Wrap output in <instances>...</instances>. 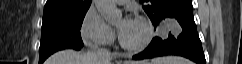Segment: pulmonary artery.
Masks as SVG:
<instances>
[{
  "mask_svg": "<svg viewBox=\"0 0 242 64\" xmlns=\"http://www.w3.org/2000/svg\"><path fill=\"white\" fill-rule=\"evenodd\" d=\"M116 2L118 4H125V3L129 2V1L128 0H116Z\"/></svg>",
  "mask_w": 242,
  "mask_h": 64,
  "instance_id": "e3ab8cb5",
  "label": "pulmonary artery"
}]
</instances>
